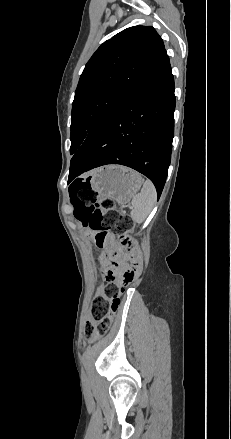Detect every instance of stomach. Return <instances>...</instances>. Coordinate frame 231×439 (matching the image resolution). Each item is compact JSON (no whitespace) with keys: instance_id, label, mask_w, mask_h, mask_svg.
<instances>
[{"instance_id":"1","label":"stomach","mask_w":231,"mask_h":439,"mask_svg":"<svg viewBox=\"0 0 231 439\" xmlns=\"http://www.w3.org/2000/svg\"><path fill=\"white\" fill-rule=\"evenodd\" d=\"M87 183L100 198L125 205L139 191L143 180L132 169L110 165L92 172Z\"/></svg>"}]
</instances>
